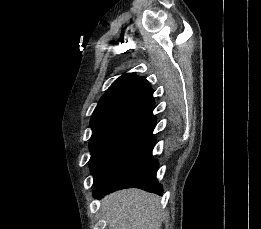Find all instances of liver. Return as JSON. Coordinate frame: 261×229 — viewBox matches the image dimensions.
Wrapping results in <instances>:
<instances>
[{"mask_svg":"<svg viewBox=\"0 0 261 229\" xmlns=\"http://www.w3.org/2000/svg\"><path fill=\"white\" fill-rule=\"evenodd\" d=\"M157 195L140 189H124L106 195L102 201L108 229H161L166 213Z\"/></svg>","mask_w":261,"mask_h":229,"instance_id":"6515ba94","label":"liver"}]
</instances>
